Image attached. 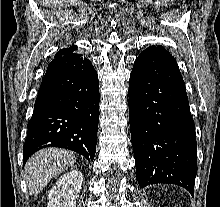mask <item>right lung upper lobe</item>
<instances>
[{
    "label": "right lung upper lobe",
    "instance_id": "obj_1",
    "mask_svg": "<svg viewBox=\"0 0 220 207\" xmlns=\"http://www.w3.org/2000/svg\"><path fill=\"white\" fill-rule=\"evenodd\" d=\"M76 49H77V46L72 45V46H70V47L67 48V49H61V50H59V51L56 53L55 56L66 55V54H69V53L73 52V51L76 50Z\"/></svg>",
    "mask_w": 220,
    "mask_h": 207
}]
</instances>
